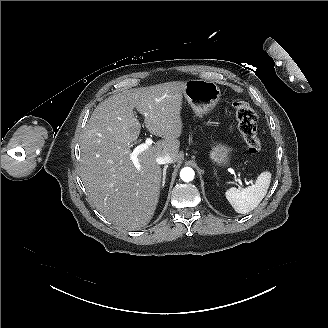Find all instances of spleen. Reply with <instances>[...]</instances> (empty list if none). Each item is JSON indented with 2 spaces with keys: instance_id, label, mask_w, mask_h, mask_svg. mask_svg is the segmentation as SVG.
Wrapping results in <instances>:
<instances>
[{
  "instance_id": "spleen-1",
  "label": "spleen",
  "mask_w": 328,
  "mask_h": 328,
  "mask_svg": "<svg viewBox=\"0 0 328 328\" xmlns=\"http://www.w3.org/2000/svg\"><path fill=\"white\" fill-rule=\"evenodd\" d=\"M271 182V173L262 172L254 185L244 189L232 187L225 193L227 200L237 213L246 214L255 209L266 196Z\"/></svg>"
}]
</instances>
